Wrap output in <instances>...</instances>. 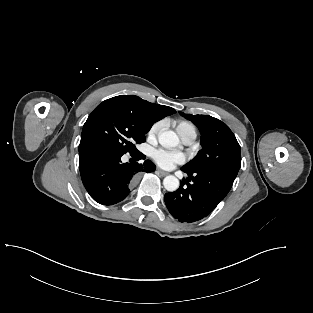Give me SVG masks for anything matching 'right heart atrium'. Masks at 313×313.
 I'll return each instance as SVG.
<instances>
[{
    "label": "right heart atrium",
    "instance_id": "d8ad5b80",
    "mask_svg": "<svg viewBox=\"0 0 313 313\" xmlns=\"http://www.w3.org/2000/svg\"><path fill=\"white\" fill-rule=\"evenodd\" d=\"M161 128H162L161 122L154 123L148 131L149 139H155L156 136L159 134Z\"/></svg>",
    "mask_w": 313,
    "mask_h": 313
}]
</instances>
